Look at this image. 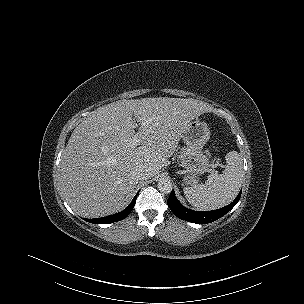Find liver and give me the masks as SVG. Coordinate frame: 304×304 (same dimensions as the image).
<instances>
[{
  "mask_svg": "<svg viewBox=\"0 0 304 304\" xmlns=\"http://www.w3.org/2000/svg\"><path fill=\"white\" fill-rule=\"evenodd\" d=\"M206 111L203 102L170 97L98 108L73 130L62 155L60 186L67 203L88 218L122 211L135 193L136 170L147 169L150 177L159 173L187 124ZM136 134L139 147L131 144Z\"/></svg>",
  "mask_w": 304,
  "mask_h": 304,
  "instance_id": "liver-1",
  "label": "liver"
}]
</instances>
